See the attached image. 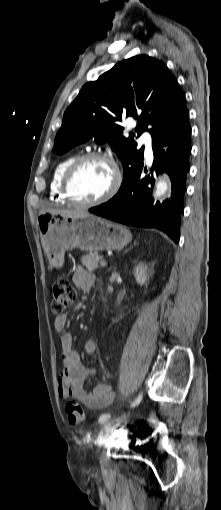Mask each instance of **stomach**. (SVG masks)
Segmentation results:
<instances>
[{
	"instance_id": "1",
	"label": "stomach",
	"mask_w": 221,
	"mask_h": 510,
	"mask_svg": "<svg viewBox=\"0 0 221 510\" xmlns=\"http://www.w3.org/2000/svg\"><path fill=\"white\" fill-rule=\"evenodd\" d=\"M42 246L49 262L60 267L65 251L80 249L97 252L120 249L131 239V232L124 226L96 217L42 213L38 217Z\"/></svg>"
}]
</instances>
